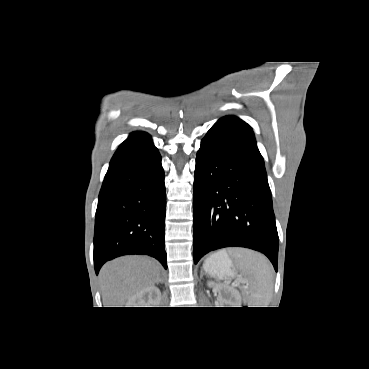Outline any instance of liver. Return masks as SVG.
Here are the masks:
<instances>
[{
  "instance_id": "obj_1",
  "label": "liver",
  "mask_w": 369,
  "mask_h": 369,
  "mask_svg": "<svg viewBox=\"0 0 369 369\" xmlns=\"http://www.w3.org/2000/svg\"><path fill=\"white\" fill-rule=\"evenodd\" d=\"M160 265L145 256H124L107 262L100 271L104 307H122L142 289L160 278Z\"/></svg>"
}]
</instances>
